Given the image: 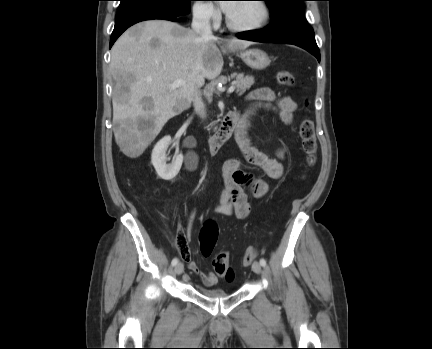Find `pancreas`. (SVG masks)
<instances>
[{
  "mask_svg": "<svg viewBox=\"0 0 432 349\" xmlns=\"http://www.w3.org/2000/svg\"><path fill=\"white\" fill-rule=\"evenodd\" d=\"M231 78H234V86L236 89V93L243 94L247 89H250V87L254 84V77L249 75H244L243 73L237 74L233 73L231 74ZM215 121L212 122L209 126H214Z\"/></svg>",
  "mask_w": 432,
  "mask_h": 349,
  "instance_id": "obj_1",
  "label": "pancreas"
}]
</instances>
